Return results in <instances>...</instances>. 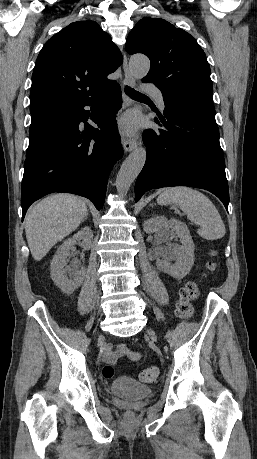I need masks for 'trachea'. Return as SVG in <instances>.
<instances>
[{
  "label": "trachea",
  "mask_w": 257,
  "mask_h": 459,
  "mask_svg": "<svg viewBox=\"0 0 257 459\" xmlns=\"http://www.w3.org/2000/svg\"><path fill=\"white\" fill-rule=\"evenodd\" d=\"M125 93H126L129 97H131V98H133V99L147 98V96H145L144 94H142V93H140V92H138V91L132 89V88L129 87V86H126V87H125Z\"/></svg>",
  "instance_id": "3493384b"
}]
</instances>
